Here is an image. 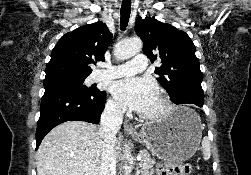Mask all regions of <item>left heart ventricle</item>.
I'll return each mask as SVG.
<instances>
[{
  "label": "left heart ventricle",
  "instance_id": "obj_1",
  "mask_svg": "<svg viewBox=\"0 0 251 175\" xmlns=\"http://www.w3.org/2000/svg\"><path fill=\"white\" fill-rule=\"evenodd\" d=\"M158 106H159V103L156 104V106L154 107V109L151 111L152 112H155L157 109H158Z\"/></svg>",
  "mask_w": 251,
  "mask_h": 175
}]
</instances>
